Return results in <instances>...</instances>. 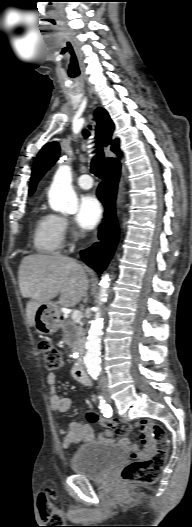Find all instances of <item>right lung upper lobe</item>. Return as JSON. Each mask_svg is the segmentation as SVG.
<instances>
[{
	"label": "right lung upper lobe",
	"instance_id": "right-lung-upper-lobe-1",
	"mask_svg": "<svg viewBox=\"0 0 192 527\" xmlns=\"http://www.w3.org/2000/svg\"><path fill=\"white\" fill-rule=\"evenodd\" d=\"M95 118L98 124V129L102 138V142L105 146L112 144L111 150L117 155H121L119 150L118 140L112 141V133L114 130V124L110 119L108 113L103 108H98L95 111ZM85 136L89 135L88 131L83 132ZM60 154V147L57 142L47 143L37 155L34 166L32 169V177L29 188V195H32L35 191L36 185L39 179L45 174V172L53 166ZM114 158L108 157L105 165L113 162Z\"/></svg>",
	"mask_w": 192,
	"mask_h": 527
}]
</instances>
